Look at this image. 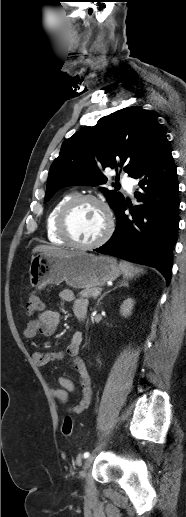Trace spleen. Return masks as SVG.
Listing matches in <instances>:
<instances>
[{
    "mask_svg": "<svg viewBox=\"0 0 186 517\" xmlns=\"http://www.w3.org/2000/svg\"><path fill=\"white\" fill-rule=\"evenodd\" d=\"M119 267L123 273L124 279H132L134 276L139 275V273H143V269L140 267H135L129 262L121 261L119 263Z\"/></svg>",
    "mask_w": 186,
    "mask_h": 517,
    "instance_id": "spleen-1",
    "label": "spleen"
}]
</instances>
